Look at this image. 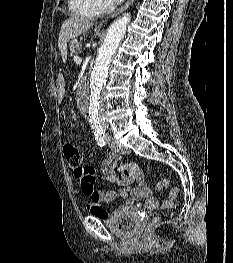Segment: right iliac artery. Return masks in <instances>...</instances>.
Masks as SVG:
<instances>
[{"label": "right iliac artery", "mask_w": 233, "mask_h": 263, "mask_svg": "<svg viewBox=\"0 0 233 263\" xmlns=\"http://www.w3.org/2000/svg\"><path fill=\"white\" fill-rule=\"evenodd\" d=\"M95 141L99 146H105L106 142L104 139V133L103 132H97L95 133Z\"/></svg>", "instance_id": "obj_1"}]
</instances>
